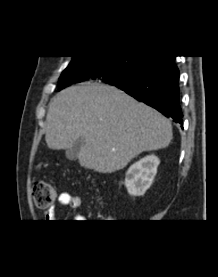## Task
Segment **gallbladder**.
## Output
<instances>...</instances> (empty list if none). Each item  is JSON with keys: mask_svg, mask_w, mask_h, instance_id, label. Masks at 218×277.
Segmentation results:
<instances>
[{"mask_svg": "<svg viewBox=\"0 0 218 277\" xmlns=\"http://www.w3.org/2000/svg\"><path fill=\"white\" fill-rule=\"evenodd\" d=\"M85 140L80 137L78 138L74 144L66 150V157L69 160H76L78 158V154L81 150V148L84 146Z\"/></svg>", "mask_w": 218, "mask_h": 277, "instance_id": "1", "label": "gallbladder"}]
</instances>
